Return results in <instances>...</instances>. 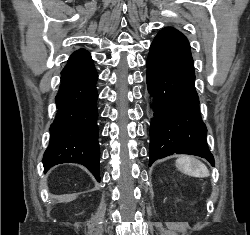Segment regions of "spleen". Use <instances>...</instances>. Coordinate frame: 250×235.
Here are the masks:
<instances>
[{
    "label": "spleen",
    "instance_id": "spleen-1",
    "mask_svg": "<svg viewBox=\"0 0 250 235\" xmlns=\"http://www.w3.org/2000/svg\"><path fill=\"white\" fill-rule=\"evenodd\" d=\"M176 167L181 172L193 177L205 178L209 176V170L206 165L190 156H182L177 159Z\"/></svg>",
    "mask_w": 250,
    "mask_h": 235
}]
</instances>
